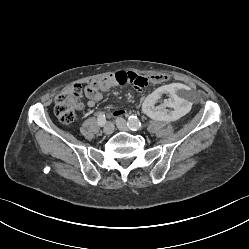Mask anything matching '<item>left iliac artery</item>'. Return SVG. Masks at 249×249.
Segmentation results:
<instances>
[{"label":"left iliac artery","mask_w":249,"mask_h":249,"mask_svg":"<svg viewBox=\"0 0 249 249\" xmlns=\"http://www.w3.org/2000/svg\"><path fill=\"white\" fill-rule=\"evenodd\" d=\"M127 126L129 127V129H131L133 131H137V130H140L142 128V124L137 119L136 116L129 117L128 122H127Z\"/></svg>","instance_id":"obj_1"}]
</instances>
